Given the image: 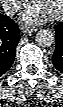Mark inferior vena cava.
<instances>
[{"mask_svg": "<svg viewBox=\"0 0 63 107\" xmlns=\"http://www.w3.org/2000/svg\"><path fill=\"white\" fill-rule=\"evenodd\" d=\"M18 9H19V5L17 3L8 2V1L3 3V10L5 14H7L8 16L14 15Z\"/></svg>", "mask_w": 63, "mask_h": 107, "instance_id": "obj_1", "label": "inferior vena cava"}]
</instances>
